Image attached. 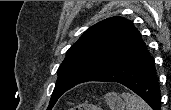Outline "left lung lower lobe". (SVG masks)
Masks as SVG:
<instances>
[{
    "mask_svg": "<svg viewBox=\"0 0 171 110\" xmlns=\"http://www.w3.org/2000/svg\"><path fill=\"white\" fill-rule=\"evenodd\" d=\"M91 81L117 82L142 97L153 110H160L161 95L152 58L143 44L118 65Z\"/></svg>",
    "mask_w": 171,
    "mask_h": 110,
    "instance_id": "left-lung-lower-lobe-1",
    "label": "left lung lower lobe"
}]
</instances>
